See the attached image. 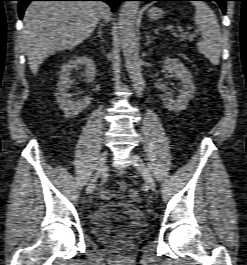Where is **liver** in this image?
<instances>
[{"label":"liver","mask_w":247,"mask_h":265,"mask_svg":"<svg viewBox=\"0 0 247 265\" xmlns=\"http://www.w3.org/2000/svg\"><path fill=\"white\" fill-rule=\"evenodd\" d=\"M110 17L101 2L34 1L23 18L22 41L33 75L50 55L76 47L101 18Z\"/></svg>","instance_id":"liver-1"}]
</instances>
